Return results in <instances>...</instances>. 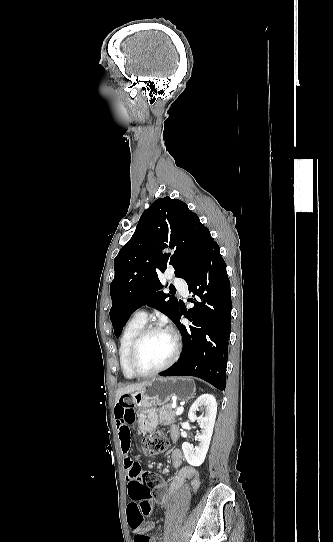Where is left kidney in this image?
Returning <instances> with one entry per match:
<instances>
[{"label":"left kidney","mask_w":333,"mask_h":542,"mask_svg":"<svg viewBox=\"0 0 333 542\" xmlns=\"http://www.w3.org/2000/svg\"><path fill=\"white\" fill-rule=\"evenodd\" d=\"M199 408L205 410L206 414L204 418H197L195 410H199ZM216 414L217 402L212 394H202V396H199L194 404H192L188 418L191 422H196V420L199 422L201 434L198 436L200 442L199 446L192 448L191 444H188V442H183L182 444L183 454L190 466H201V464H203L209 450Z\"/></svg>","instance_id":"5707ae66"}]
</instances>
